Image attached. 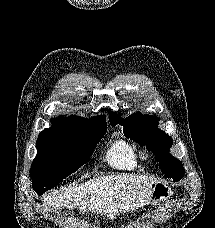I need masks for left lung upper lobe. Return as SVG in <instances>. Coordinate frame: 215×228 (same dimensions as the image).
<instances>
[{"label":"left lung upper lobe","instance_id":"left-lung-upper-lobe-1","mask_svg":"<svg viewBox=\"0 0 215 228\" xmlns=\"http://www.w3.org/2000/svg\"><path fill=\"white\" fill-rule=\"evenodd\" d=\"M110 123L115 126L117 123L124 126V135L130 137L140 145H146L148 150L155 154V159L159 162L165 178H172L179 181L184 175L182 163L172 157L168 150L172 146V138L162 130L157 128L158 118H151L137 112L127 119H122L120 115L109 111Z\"/></svg>","mask_w":215,"mask_h":228}]
</instances>
